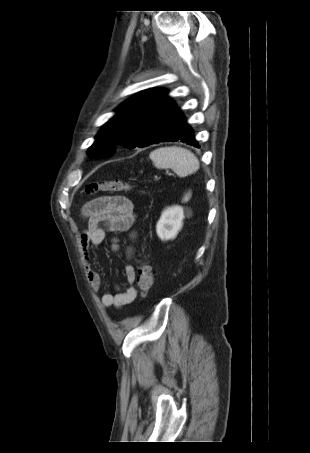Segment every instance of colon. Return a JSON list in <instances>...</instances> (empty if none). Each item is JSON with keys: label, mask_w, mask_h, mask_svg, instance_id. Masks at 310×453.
I'll return each mask as SVG.
<instances>
[{"label": "colon", "mask_w": 310, "mask_h": 453, "mask_svg": "<svg viewBox=\"0 0 310 453\" xmlns=\"http://www.w3.org/2000/svg\"><path fill=\"white\" fill-rule=\"evenodd\" d=\"M133 187L131 182H126L122 180H114V181H105L99 182L94 181L91 182L86 187V193L88 195H94L98 193H116L122 191H128ZM153 284V275L152 270L149 263L146 260L141 261L138 269V276H137V287L138 292L141 298L147 296L148 292L150 291Z\"/></svg>", "instance_id": "5ec220e1"}]
</instances>
